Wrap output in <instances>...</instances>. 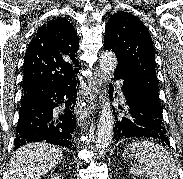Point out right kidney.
<instances>
[{"instance_id":"1","label":"right kidney","mask_w":183,"mask_h":179,"mask_svg":"<svg viewBox=\"0 0 183 179\" xmlns=\"http://www.w3.org/2000/svg\"><path fill=\"white\" fill-rule=\"evenodd\" d=\"M51 179H61V178L58 176H52Z\"/></svg>"}]
</instances>
